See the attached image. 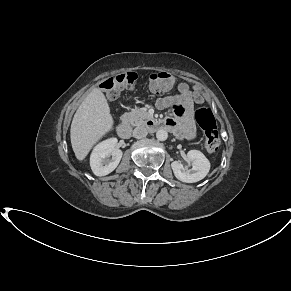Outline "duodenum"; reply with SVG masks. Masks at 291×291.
Segmentation results:
<instances>
[{"label": "duodenum", "mask_w": 291, "mask_h": 291, "mask_svg": "<svg viewBox=\"0 0 291 291\" xmlns=\"http://www.w3.org/2000/svg\"><path fill=\"white\" fill-rule=\"evenodd\" d=\"M147 127L154 130L167 128L164 120H148ZM116 130L121 137H128L131 134V128L126 119L121 120L117 125Z\"/></svg>", "instance_id": "obj_1"}]
</instances>
